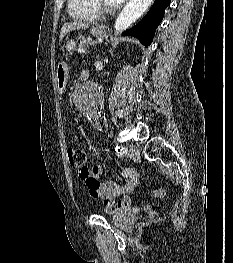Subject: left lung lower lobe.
<instances>
[{
  "mask_svg": "<svg viewBox=\"0 0 233 263\" xmlns=\"http://www.w3.org/2000/svg\"><path fill=\"white\" fill-rule=\"evenodd\" d=\"M171 0H155L153 6L145 17L133 28L125 31L124 35H132L140 40V42L149 46L153 40L155 30L161 23L164 11L169 6Z\"/></svg>",
  "mask_w": 233,
  "mask_h": 263,
  "instance_id": "0a47b994",
  "label": "left lung lower lobe"
}]
</instances>
